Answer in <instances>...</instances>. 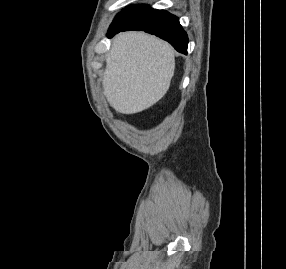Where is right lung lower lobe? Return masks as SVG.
I'll return each mask as SVG.
<instances>
[{
    "instance_id": "1",
    "label": "right lung lower lobe",
    "mask_w": 286,
    "mask_h": 269,
    "mask_svg": "<svg viewBox=\"0 0 286 269\" xmlns=\"http://www.w3.org/2000/svg\"><path fill=\"white\" fill-rule=\"evenodd\" d=\"M127 30L155 34L168 41L178 52L187 53V34L181 27L178 18L167 11L151 9L122 28L109 29L107 36L112 37L120 31Z\"/></svg>"
}]
</instances>
